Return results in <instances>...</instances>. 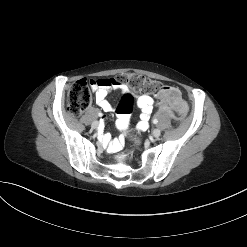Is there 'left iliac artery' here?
<instances>
[{"label":"left iliac artery","mask_w":247,"mask_h":247,"mask_svg":"<svg viewBox=\"0 0 247 247\" xmlns=\"http://www.w3.org/2000/svg\"><path fill=\"white\" fill-rule=\"evenodd\" d=\"M153 123L154 124H157L158 123V120L157 119H153Z\"/></svg>","instance_id":"44dca946"}]
</instances>
